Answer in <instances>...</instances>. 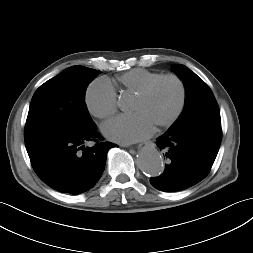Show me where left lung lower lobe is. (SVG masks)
<instances>
[{"mask_svg":"<svg viewBox=\"0 0 253 253\" xmlns=\"http://www.w3.org/2000/svg\"><path fill=\"white\" fill-rule=\"evenodd\" d=\"M222 138L221 123L199 121L171 126L157 139V146L168 158L165 171L151 178L153 187L174 192L191 187L209 173Z\"/></svg>","mask_w":253,"mask_h":253,"instance_id":"0a47b994","label":"left lung lower lobe"}]
</instances>
